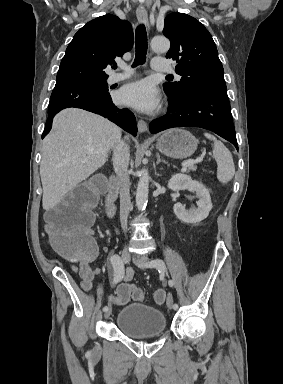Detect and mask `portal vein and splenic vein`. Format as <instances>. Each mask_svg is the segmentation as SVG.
<instances>
[{
  "instance_id": "1",
  "label": "portal vein and splenic vein",
  "mask_w": 283,
  "mask_h": 384,
  "mask_svg": "<svg viewBox=\"0 0 283 384\" xmlns=\"http://www.w3.org/2000/svg\"><path fill=\"white\" fill-rule=\"evenodd\" d=\"M203 158H197V160H186V162H182V168H189V166H194V164H199L202 162Z\"/></svg>"
}]
</instances>
